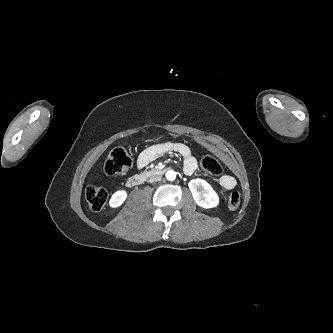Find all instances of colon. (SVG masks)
Wrapping results in <instances>:
<instances>
[{
    "label": "colon",
    "mask_w": 333,
    "mask_h": 333,
    "mask_svg": "<svg viewBox=\"0 0 333 333\" xmlns=\"http://www.w3.org/2000/svg\"><path fill=\"white\" fill-rule=\"evenodd\" d=\"M132 165L130 154L125 148L119 147L112 150L105 161L104 171L109 175L122 174L127 172ZM201 168L207 173L219 175L222 172L220 163L212 156H204L200 161ZM86 201L93 211H100L104 208L108 194L105 189L96 186H89L85 192ZM241 202L240 194L234 191L228 198V207L235 210Z\"/></svg>",
    "instance_id": "obj_1"
}]
</instances>
